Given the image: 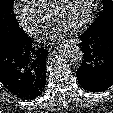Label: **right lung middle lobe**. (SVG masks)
I'll return each mask as SVG.
<instances>
[{
  "label": "right lung middle lobe",
  "mask_w": 113,
  "mask_h": 113,
  "mask_svg": "<svg viewBox=\"0 0 113 113\" xmlns=\"http://www.w3.org/2000/svg\"><path fill=\"white\" fill-rule=\"evenodd\" d=\"M13 3L14 0H0V38L19 27L13 11Z\"/></svg>",
  "instance_id": "obj_1"
}]
</instances>
